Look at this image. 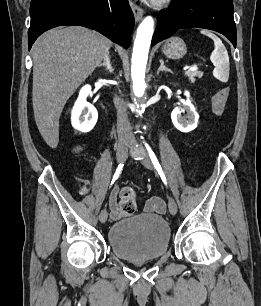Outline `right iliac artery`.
Listing matches in <instances>:
<instances>
[{
	"instance_id": "right-iliac-artery-1",
	"label": "right iliac artery",
	"mask_w": 261,
	"mask_h": 306,
	"mask_svg": "<svg viewBox=\"0 0 261 306\" xmlns=\"http://www.w3.org/2000/svg\"><path fill=\"white\" fill-rule=\"evenodd\" d=\"M123 164H119L118 165V167H117V169H116V172H115V174H114V176H113V178H112V181H111V185H113V183L118 179V177H119V175H120V173H121V170H122V168H123Z\"/></svg>"
}]
</instances>
